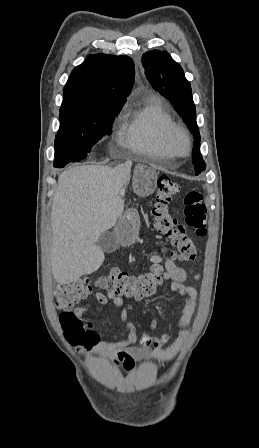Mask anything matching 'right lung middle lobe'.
I'll list each match as a JSON object with an SVG mask.
<instances>
[{"instance_id": "obj_1", "label": "right lung middle lobe", "mask_w": 259, "mask_h": 448, "mask_svg": "<svg viewBox=\"0 0 259 448\" xmlns=\"http://www.w3.org/2000/svg\"><path fill=\"white\" fill-rule=\"evenodd\" d=\"M121 108L60 115V128L55 138L54 167L62 168L79 162L105 135Z\"/></svg>"}]
</instances>
